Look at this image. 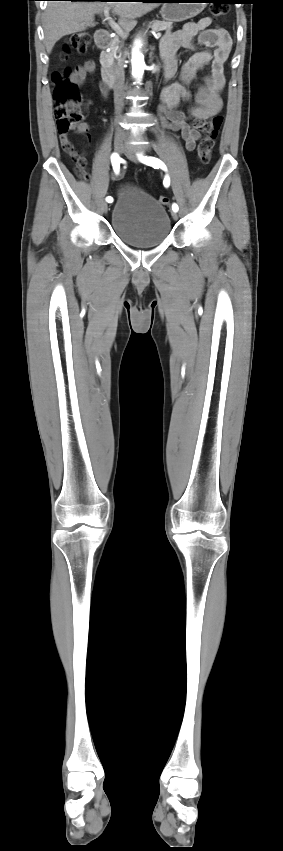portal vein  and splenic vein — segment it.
Here are the masks:
<instances>
[{
  "label": "portal vein and splenic vein",
  "mask_w": 283,
  "mask_h": 851,
  "mask_svg": "<svg viewBox=\"0 0 283 851\" xmlns=\"http://www.w3.org/2000/svg\"><path fill=\"white\" fill-rule=\"evenodd\" d=\"M104 16H105V20L108 21L109 25L111 26V28L115 32H117L122 37H126V32L110 17L109 8L104 9ZM160 37H161V33H157L155 35L156 39H159Z\"/></svg>",
  "instance_id": "1"
}]
</instances>
